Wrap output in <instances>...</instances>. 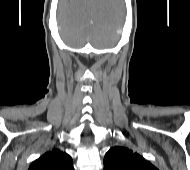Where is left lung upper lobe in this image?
Masks as SVG:
<instances>
[{"label": "left lung upper lobe", "instance_id": "1", "mask_svg": "<svg viewBox=\"0 0 190 170\" xmlns=\"http://www.w3.org/2000/svg\"><path fill=\"white\" fill-rule=\"evenodd\" d=\"M104 170H158L132 150L115 146L104 157Z\"/></svg>", "mask_w": 190, "mask_h": 170}]
</instances>
